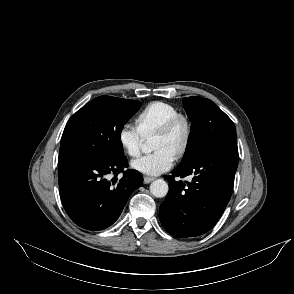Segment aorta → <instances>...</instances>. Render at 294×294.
<instances>
[{
	"label": "aorta",
	"instance_id": "aorta-1",
	"mask_svg": "<svg viewBox=\"0 0 294 294\" xmlns=\"http://www.w3.org/2000/svg\"><path fill=\"white\" fill-rule=\"evenodd\" d=\"M142 150L145 153H149L154 150L153 138H148L143 142ZM168 189V184L163 179H157L150 185V192L157 198L165 197L168 193Z\"/></svg>",
	"mask_w": 294,
	"mask_h": 294
}]
</instances>
